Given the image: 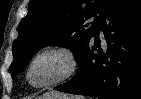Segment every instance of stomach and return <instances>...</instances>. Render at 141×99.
Segmentation results:
<instances>
[{"mask_svg":"<svg viewBox=\"0 0 141 99\" xmlns=\"http://www.w3.org/2000/svg\"><path fill=\"white\" fill-rule=\"evenodd\" d=\"M42 99H49V98H47V97H43Z\"/></svg>","mask_w":141,"mask_h":99,"instance_id":"1","label":"stomach"}]
</instances>
